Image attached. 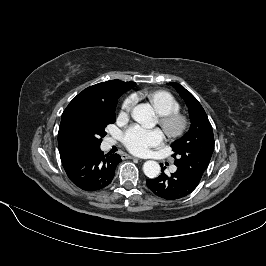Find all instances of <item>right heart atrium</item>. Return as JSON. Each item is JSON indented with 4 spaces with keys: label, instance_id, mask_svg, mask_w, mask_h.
Masks as SVG:
<instances>
[{
    "label": "right heart atrium",
    "instance_id": "1",
    "mask_svg": "<svg viewBox=\"0 0 266 266\" xmlns=\"http://www.w3.org/2000/svg\"><path fill=\"white\" fill-rule=\"evenodd\" d=\"M136 101H137L136 94H131L128 97H126L122 103V107H121L122 113L129 112L135 105Z\"/></svg>",
    "mask_w": 266,
    "mask_h": 266
}]
</instances>
